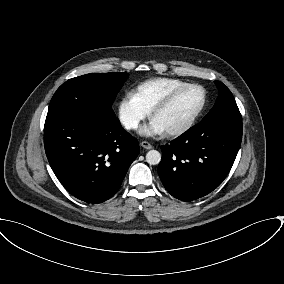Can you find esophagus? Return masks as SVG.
<instances>
[{"label": "esophagus", "mask_w": 284, "mask_h": 284, "mask_svg": "<svg viewBox=\"0 0 284 284\" xmlns=\"http://www.w3.org/2000/svg\"><path fill=\"white\" fill-rule=\"evenodd\" d=\"M140 145H141L144 149H152V148H153V146H152L149 142H147V141H142V142L140 143Z\"/></svg>", "instance_id": "34e87169"}]
</instances>
